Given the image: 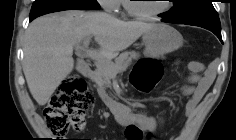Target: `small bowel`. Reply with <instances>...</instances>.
I'll return each mask as SVG.
<instances>
[{
    "label": "small bowel",
    "mask_w": 236,
    "mask_h": 140,
    "mask_svg": "<svg viewBox=\"0 0 236 140\" xmlns=\"http://www.w3.org/2000/svg\"><path fill=\"white\" fill-rule=\"evenodd\" d=\"M189 75L186 77L184 84L181 86V92L188 97L185 115L190 118L194 115L198 104L211 86L215 73L211 68L204 69L202 63L198 61H190L188 63ZM137 119L141 128L150 132H155L163 125L164 119L156 120L153 117L136 116L131 117L127 122L129 123ZM171 140H176L172 138Z\"/></svg>",
    "instance_id": "obj_1"
}]
</instances>
